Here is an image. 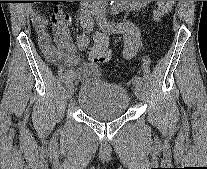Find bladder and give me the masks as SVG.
<instances>
[{
  "mask_svg": "<svg viewBox=\"0 0 207 169\" xmlns=\"http://www.w3.org/2000/svg\"><path fill=\"white\" fill-rule=\"evenodd\" d=\"M78 108L88 117L108 121L121 118L130 106L125 87L102 79H93L81 85L77 95Z\"/></svg>",
  "mask_w": 207,
  "mask_h": 169,
  "instance_id": "1",
  "label": "bladder"
}]
</instances>
